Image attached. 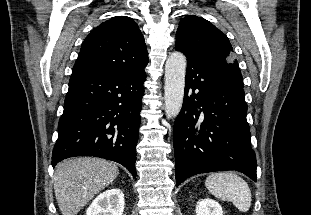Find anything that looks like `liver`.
<instances>
[{"label":"liver","mask_w":311,"mask_h":215,"mask_svg":"<svg viewBox=\"0 0 311 215\" xmlns=\"http://www.w3.org/2000/svg\"><path fill=\"white\" fill-rule=\"evenodd\" d=\"M116 164L95 157L64 160L56 166L54 190L62 215H76L118 175Z\"/></svg>","instance_id":"obj_1"}]
</instances>
